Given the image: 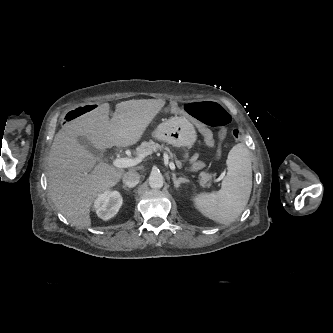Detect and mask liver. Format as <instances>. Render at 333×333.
I'll list each match as a JSON object with an SVG mask.
<instances>
[{"instance_id": "liver-1", "label": "liver", "mask_w": 333, "mask_h": 333, "mask_svg": "<svg viewBox=\"0 0 333 333\" xmlns=\"http://www.w3.org/2000/svg\"><path fill=\"white\" fill-rule=\"evenodd\" d=\"M162 99L123 101L109 120L108 103L74 118L55 135L48 158V190L56 208L77 228L91 225L90 207L102 192L115 186L124 170L104 162L82 147L84 136L99 150L136 144L165 105Z\"/></svg>"}]
</instances>
